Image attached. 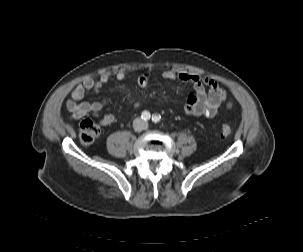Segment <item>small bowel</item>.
Returning <instances> with one entry per match:
<instances>
[{"instance_id": "1", "label": "small bowel", "mask_w": 303, "mask_h": 252, "mask_svg": "<svg viewBox=\"0 0 303 252\" xmlns=\"http://www.w3.org/2000/svg\"><path fill=\"white\" fill-rule=\"evenodd\" d=\"M162 77L166 80L177 82L193 87V92L188 96L183 107L184 114L193 117L205 116L215 118L219 115L222 106L232 108L233 102L229 98L226 90L214 79L202 78L195 74L165 69ZM115 78L117 82H122L126 78L124 71H119L114 76L106 72L99 77H88L81 84L76 85L70 93V98L66 101V108L70 112V118L78 120L85 116L92 115L99 118L102 125H109L114 121L112 114L100 116L103 109L101 102H88L85 97L91 92H97L103 85H106ZM137 83L141 88H148L150 85V72L143 71L137 77ZM139 103L134 104V108H140Z\"/></svg>"}]
</instances>
